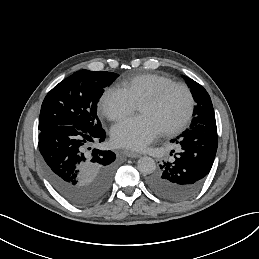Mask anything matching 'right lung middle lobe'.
Returning <instances> with one entry per match:
<instances>
[{
    "label": "right lung middle lobe",
    "mask_w": 259,
    "mask_h": 259,
    "mask_svg": "<svg viewBox=\"0 0 259 259\" xmlns=\"http://www.w3.org/2000/svg\"><path fill=\"white\" fill-rule=\"evenodd\" d=\"M118 74L80 70L57 84L45 97L39 117V130L56 126H74L83 132L101 127L97 103Z\"/></svg>",
    "instance_id": "right-lung-middle-lobe-1"
}]
</instances>
